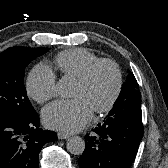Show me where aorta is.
<instances>
[{
    "mask_svg": "<svg viewBox=\"0 0 168 168\" xmlns=\"http://www.w3.org/2000/svg\"><path fill=\"white\" fill-rule=\"evenodd\" d=\"M58 94L62 97H69L74 89V81L63 77L57 83ZM67 150L74 155H81L85 150V141L79 136H73L68 139Z\"/></svg>",
    "mask_w": 168,
    "mask_h": 168,
    "instance_id": "762f6f07",
    "label": "aorta"
}]
</instances>
